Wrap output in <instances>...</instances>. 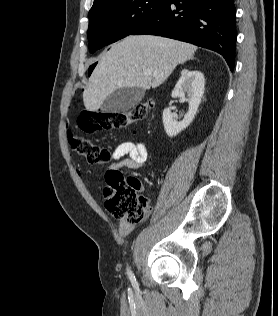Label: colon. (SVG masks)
Instances as JSON below:
<instances>
[{
	"mask_svg": "<svg viewBox=\"0 0 278 316\" xmlns=\"http://www.w3.org/2000/svg\"><path fill=\"white\" fill-rule=\"evenodd\" d=\"M151 106L152 102H147L129 111L116 113L83 111L77 119V125L84 133L123 128L143 120ZM68 139L71 148L92 164H104L111 159L109 150L87 138L69 134ZM105 180L104 197L107 210L128 224L141 222L149 212V204L148 200L140 195V181L135 177H124L118 170L108 171Z\"/></svg>",
	"mask_w": 278,
	"mask_h": 316,
	"instance_id": "1",
	"label": "colon"
}]
</instances>
